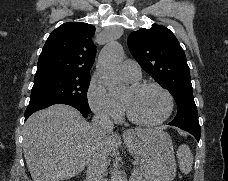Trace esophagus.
Instances as JSON below:
<instances>
[{"label": "esophagus", "mask_w": 228, "mask_h": 181, "mask_svg": "<svg viewBox=\"0 0 228 181\" xmlns=\"http://www.w3.org/2000/svg\"><path fill=\"white\" fill-rule=\"evenodd\" d=\"M128 135H129V132H127V131H125V132L123 133V137L128 136Z\"/></svg>", "instance_id": "obj_1"}]
</instances>
